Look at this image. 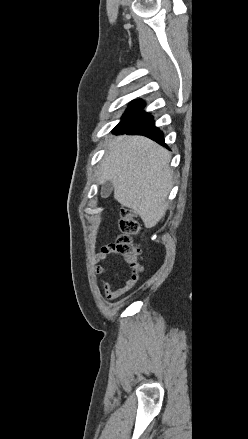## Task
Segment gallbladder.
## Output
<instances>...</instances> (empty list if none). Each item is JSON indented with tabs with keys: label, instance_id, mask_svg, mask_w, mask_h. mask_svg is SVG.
Here are the masks:
<instances>
[{
	"label": "gallbladder",
	"instance_id": "bac80fb5",
	"mask_svg": "<svg viewBox=\"0 0 248 439\" xmlns=\"http://www.w3.org/2000/svg\"><path fill=\"white\" fill-rule=\"evenodd\" d=\"M113 190V184L110 180L102 183L101 196L102 198H107Z\"/></svg>",
	"mask_w": 248,
	"mask_h": 439
}]
</instances>
